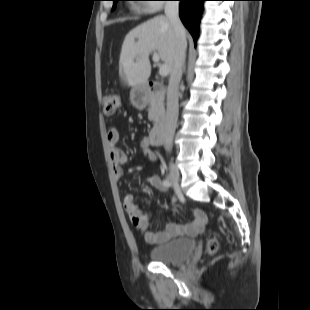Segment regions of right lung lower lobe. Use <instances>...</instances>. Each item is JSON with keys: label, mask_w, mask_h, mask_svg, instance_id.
Here are the masks:
<instances>
[{"label": "right lung lower lobe", "mask_w": 310, "mask_h": 310, "mask_svg": "<svg viewBox=\"0 0 310 310\" xmlns=\"http://www.w3.org/2000/svg\"><path fill=\"white\" fill-rule=\"evenodd\" d=\"M179 16L189 30L196 45L199 32V24L203 10V3L206 0H179Z\"/></svg>", "instance_id": "obj_1"}]
</instances>
